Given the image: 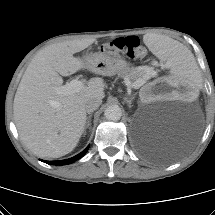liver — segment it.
Returning <instances> with one entry per match:
<instances>
[{"mask_svg":"<svg viewBox=\"0 0 215 215\" xmlns=\"http://www.w3.org/2000/svg\"><path fill=\"white\" fill-rule=\"evenodd\" d=\"M96 41L83 38L54 43L34 56L17 88L13 113L23 144L40 158H59L77 146L86 125L85 103L103 99L104 81L92 78L79 91L59 94L61 76L88 69L83 59L73 56Z\"/></svg>","mask_w":215,"mask_h":215,"instance_id":"obj_1","label":"liver"}]
</instances>
